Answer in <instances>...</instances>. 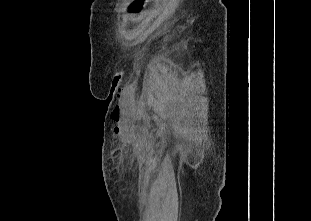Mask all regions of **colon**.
I'll return each instance as SVG.
<instances>
[{
  "mask_svg": "<svg viewBox=\"0 0 311 221\" xmlns=\"http://www.w3.org/2000/svg\"><path fill=\"white\" fill-rule=\"evenodd\" d=\"M145 2V0H130L128 10L132 13H138L143 9Z\"/></svg>",
  "mask_w": 311,
  "mask_h": 221,
  "instance_id": "1",
  "label": "colon"
}]
</instances>
